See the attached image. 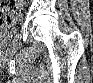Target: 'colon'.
Masks as SVG:
<instances>
[{
	"label": "colon",
	"mask_w": 93,
	"mask_h": 83,
	"mask_svg": "<svg viewBox=\"0 0 93 83\" xmlns=\"http://www.w3.org/2000/svg\"><path fill=\"white\" fill-rule=\"evenodd\" d=\"M13 2V1H10ZM15 3V1H14ZM15 13V9L8 7V6H4L1 11H0V20L2 24H7L11 21V18L13 17Z\"/></svg>",
	"instance_id": "obj_1"
}]
</instances>
